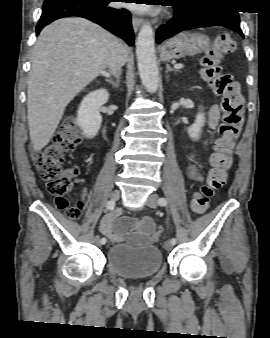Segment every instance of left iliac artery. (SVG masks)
<instances>
[{
    "label": "left iliac artery",
    "mask_w": 270,
    "mask_h": 338,
    "mask_svg": "<svg viewBox=\"0 0 270 338\" xmlns=\"http://www.w3.org/2000/svg\"><path fill=\"white\" fill-rule=\"evenodd\" d=\"M158 204H159L160 206H166V205L168 204V201H167L166 198H163V197H162V198H159V199H158ZM176 242H177L176 238H172V239H171V243H172L173 245H175Z\"/></svg>",
    "instance_id": "1"
}]
</instances>
